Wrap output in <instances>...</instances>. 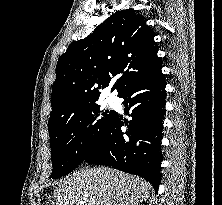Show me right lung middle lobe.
I'll return each mask as SVG.
<instances>
[{"mask_svg":"<svg viewBox=\"0 0 222 205\" xmlns=\"http://www.w3.org/2000/svg\"><path fill=\"white\" fill-rule=\"evenodd\" d=\"M115 116L114 111L104 110L94 104L48 124L53 165L51 177L61 178L78 167Z\"/></svg>","mask_w":222,"mask_h":205,"instance_id":"dd1d6c3e","label":"right lung middle lobe"}]
</instances>
